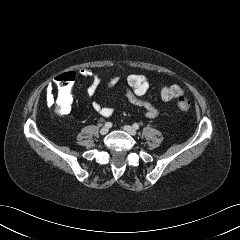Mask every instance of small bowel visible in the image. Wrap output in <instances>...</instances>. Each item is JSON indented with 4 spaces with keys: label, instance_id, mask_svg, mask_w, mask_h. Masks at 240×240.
I'll list each match as a JSON object with an SVG mask.
<instances>
[{
    "label": "small bowel",
    "instance_id": "obj_1",
    "mask_svg": "<svg viewBox=\"0 0 240 240\" xmlns=\"http://www.w3.org/2000/svg\"><path fill=\"white\" fill-rule=\"evenodd\" d=\"M79 73L84 77H89L92 79L90 85L87 88L86 94L90 98L94 97L102 82L101 74L88 68H82ZM117 85L123 86L125 96L130 103L144 109V115L147 118L153 119L159 115L160 110L156 105H154L150 100L146 99L145 97H138L133 94L126 86V83L122 81L121 77L116 74L108 79L107 87L113 88ZM92 108L99 115L106 118L110 117L114 112V109L112 107L104 106L95 100L92 102Z\"/></svg>",
    "mask_w": 240,
    "mask_h": 240
}]
</instances>
